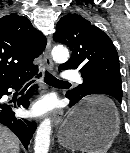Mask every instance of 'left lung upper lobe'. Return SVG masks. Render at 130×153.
<instances>
[{"mask_svg":"<svg viewBox=\"0 0 130 153\" xmlns=\"http://www.w3.org/2000/svg\"><path fill=\"white\" fill-rule=\"evenodd\" d=\"M56 42L67 45L71 58L59 70L79 69L83 84L66 93L80 100L90 93L105 94L122 100L121 75L117 51L107 34L78 14L63 16L53 35Z\"/></svg>","mask_w":130,"mask_h":153,"instance_id":"5c2ea615","label":"left lung upper lobe"}]
</instances>
